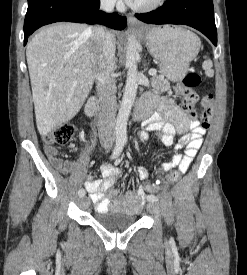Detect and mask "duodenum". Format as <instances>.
<instances>
[{"instance_id":"obj_1","label":"duodenum","mask_w":247,"mask_h":275,"mask_svg":"<svg viewBox=\"0 0 247 275\" xmlns=\"http://www.w3.org/2000/svg\"><path fill=\"white\" fill-rule=\"evenodd\" d=\"M85 110L88 115L97 114V112L99 110V105H98V100L96 97L89 98V100L86 103ZM147 113H148V108L146 107V105L143 103H139L135 107L134 119L140 120L143 117H145Z\"/></svg>"}]
</instances>
